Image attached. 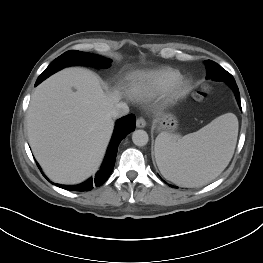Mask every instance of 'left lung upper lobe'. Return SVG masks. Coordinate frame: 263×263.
Segmentation results:
<instances>
[{
    "label": "left lung upper lobe",
    "instance_id": "obj_1",
    "mask_svg": "<svg viewBox=\"0 0 263 263\" xmlns=\"http://www.w3.org/2000/svg\"><path fill=\"white\" fill-rule=\"evenodd\" d=\"M215 72H216L215 77H210L213 80L225 81V82L235 81L233 76L230 73H228L226 70H224L222 67H220Z\"/></svg>",
    "mask_w": 263,
    "mask_h": 263
}]
</instances>
